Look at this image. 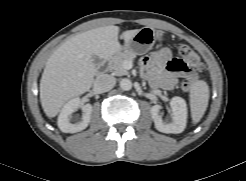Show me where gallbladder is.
<instances>
[{
  "mask_svg": "<svg viewBox=\"0 0 246 181\" xmlns=\"http://www.w3.org/2000/svg\"><path fill=\"white\" fill-rule=\"evenodd\" d=\"M93 62L95 65H98L101 62V59L98 56L93 55Z\"/></svg>",
  "mask_w": 246,
  "mask_h": 181,
  "instance_id": "bac80fb5",
  "label": "gallbladder"
}]
</instances>
